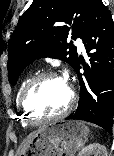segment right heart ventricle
Here are the masks:
<instances>
[{"label":"right heart ventricle","mask_w":114,"mask_h":156,"mask_svg":"<svg viewBox=\"0 0 114 156\" xmlns=\"http://www.w3.org/2000/svg\"><path fill=\"white\" fill-rule=\"evenodd\" d=\"M29 79H30V78L24 79V80L21 82V84H20V86H19V88H18L17 95H16V105H17V107H19V105H18L19 95H20V93H21L23 87L25 86V84L28 82ZM21 119H22V124H23V126H27L28 124H27V122L24 120L23 115L21 116Z\"/></svg>","instance_id":"e07e8e85"}]
</instances>
